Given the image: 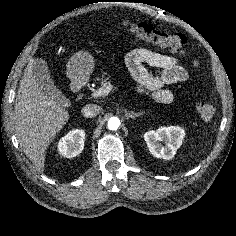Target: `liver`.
Returning a JSON list of instances; mask_svg holds the SVG:
<instances>
[{"mask_svg": "<svg viewBox=\"0 0 236 236\" xmlns=\"http://www.w3.org/2000/svg\"><path fill=\"white\" fill-rule=\"evenodd\" d=\"M30 59L19 83L15 99V133L20 148L39 173L45 167V152L56 134L69 120V112L40 90Z\"/></svg>", "mask_w": 236, "mask_h": 236, "instance_id": "6515ba94", "label": "liver"}]
</instances>
